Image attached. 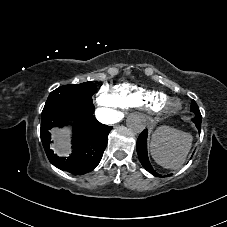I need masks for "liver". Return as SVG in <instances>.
<instances>
[{
    "label": "liver",
    "instance_id": "liver-1",
    "mask_svg": "<svg viewBox=\"0 0 227 227\" xmlns=\"http://www.w3.org/2000/svg\"><path fill=\"white\" fill-rule=\"evenodd\" d=\"M53 137L56 140L55 151L60 155H68L70 153V130L67 128L51 130Z\"/></svg>",
    "mask_w": 227,
    "mask_h": 227
}]
</instances>
